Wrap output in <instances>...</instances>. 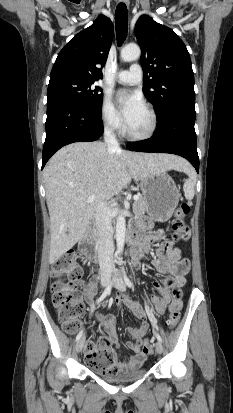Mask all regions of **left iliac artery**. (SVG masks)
I'll list each match as a JSON object with an SVG mask.
<instances>
[{"label": "left iliac artery", "instance_id": "left-iliac-artery-1", "mask_svg": "<svg viewBox=\"0 0 233 413\" xmlns=\"http://www.w3.org/2000/svg\"><path fill=\"white\" fill-rule=\"evenodd\" d=\"M123 273H124V280H125L126 285H127L129 288H133V284H132V282L130 281V279L127 277V275H126V273H125V270H123ZM154 325H155V324H154ZM154 333H155V336H156V338L158 339V341L162 342L161 336H160L156 331H155Z\"/></svg>", "mask_w": 233, "mask_h": 413}]
</instances>
